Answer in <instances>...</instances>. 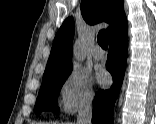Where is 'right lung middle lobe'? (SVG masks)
Segmentation results:
<instances>
[{
    "mask_svg": "<svg viewBox=\"0 0 156 124\" xmlns=\"http://www.w3.org/2000/svg\"><path fill=\"white\" fill-rule=\"evenodd\" d=\"M72 69L59 73L54 76L43 78L39 95L36 100L34 111L39 115L42 111H53L57 113V99L60 89Z\"/></svg>",
    "mask_w": 156,
    "mask_h": 124,
    "instance_id": "right-lung-middle-lobe-1",
    "label": "right lung middle lobe"
}]
</instances>
